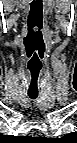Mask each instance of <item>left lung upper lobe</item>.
Returning <instances> with one entry per match:
<instances>
[{"mask_svg":"<svg viewBox=\"0 0 77 143\" xmlns=\"http://www.w3.org/2000/svg\"><path fill=\"white\" fill-rule=\"evenodd\" d=\"M74 138V133H70L64 137L65 140H70Z\"/></svg>","mask_w":77,"mask_h":143,"instance_id":"left-lung-upper-lobe-1","label":"left lung upper lobe"}]
</instances>
